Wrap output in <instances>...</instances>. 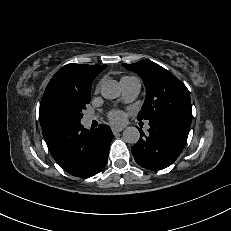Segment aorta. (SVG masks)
<instances>
[{
  "instance_id": "aorta-1",
  "label": "aorta",
  "mask_w": 231,
  "mask_h": 231,
  "mask_svg": "<svg viewBox=\"0 0 231 231\" xmlns=\"http://www.w3.org/2000/svg\"><path fill=\"white\" fill-rule=\"evenodd\" d=\"M120 87L115 80H107L101 86V95L106 99H116L120 96ZM140 138L139 130L130 126L123 131V140L126 143L136 144Z\"/></svg>"
}]
</instances>
